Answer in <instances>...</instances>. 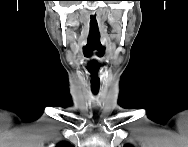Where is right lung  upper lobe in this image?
Returning a JSON list of instances; mask_svg holds the SVG:
<instances>
[{
  "label": "right lung upper lobe",
  "instance_id": "1",
  "mask_svg": "<svg viewBox=\"0 0 188 147\" xmlns=\"http://www.w3.org/2000/svg\"><path fill=\"white\" fill-rule=\"evenodd\" d=\"M57 147H70V144H68L66 142H62V143L58 144Z\"/></svg>",
  "mask_w": 188,
  "mask_h": 147
}]
</instances>
